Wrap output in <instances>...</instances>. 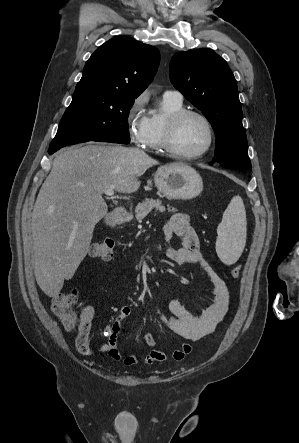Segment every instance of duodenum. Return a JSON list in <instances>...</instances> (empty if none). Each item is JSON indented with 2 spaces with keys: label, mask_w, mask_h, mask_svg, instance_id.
<instances>
[{
  "label": "duodenum",
  "mask_w": 299,
  "mask_h": 443,
  "mask_svg": "<svg viewBox=\"0 0 299 443\" xmlns=\"http://www.w3.org/2000/svg\"><path fill=\"white\" fill-rule=\"evenodd\" d=\"M130 219V214L127 210L117 209L112 213L111 223L114 226H119Z\"/></svg>",
  "instance_id": "410a0bca"
}]
</instances>
